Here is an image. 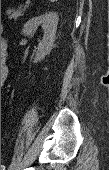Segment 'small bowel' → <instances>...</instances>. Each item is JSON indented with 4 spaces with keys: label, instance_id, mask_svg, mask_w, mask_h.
<instances>
[{
    "label": "small bowel",
    "instance_id": "small-bowel-1",
    "mask_svg": "<svg viewBox=\"0 0 109 170\" xmlns=\"http://www.w3.org/2000/svg\"><path fill=\"white\" fill-rule=\"evenodd\" d=\"M1 46L5 48L6 47V42L1 41ZM6 77H7V70H6V68H4V70L1 73V80L4 81L6 79Z\"/></svg>",
    "mask_w": 109,
    "mask_h": 170
}]
</instances>
